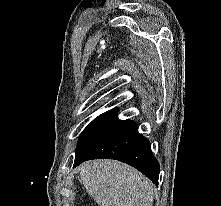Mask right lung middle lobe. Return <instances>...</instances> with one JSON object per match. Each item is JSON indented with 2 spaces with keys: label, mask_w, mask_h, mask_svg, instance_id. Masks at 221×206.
<instances>
[{
  "label": "right lung middle lobe",
  "mask_w": 221,
  "mask_h": 206,
  "mask_svg": "<svg viewBox=\"0 0 221 206\" xmlns=\"http://www.w3.org/2000/svg\"><path fill=\"white\" fill-rule=\"evenodd\" d=\"M117 112L118 109H112L99 115L84 129L79 137L75 159L79 158L101 134L118 121Z\"/></svg>",
  "instance_id": "1"
}]
</instances>
